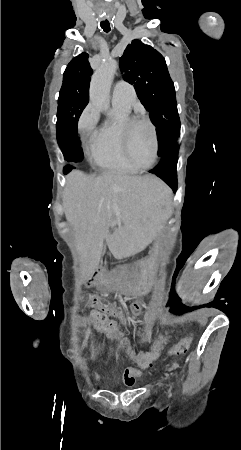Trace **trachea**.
Here are the masks:
<instances>
[{"label": "trachea", "mask_w": 241, "mask_h": 450, "mask_svg": "<svg viewBox=\"0 0 241 450\" xmlns=\"http://www.w3.org/2000/svg\"><path fill=\"white\" fill-rule=\"evenodd\" d=\"M101 28L104 30V32L108 33L110 31L109 22H101Z\"/></svg>", "instance_id": "1"}]
</instances>
